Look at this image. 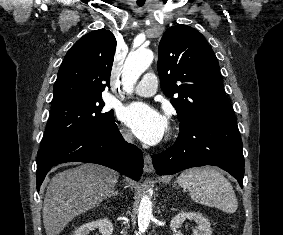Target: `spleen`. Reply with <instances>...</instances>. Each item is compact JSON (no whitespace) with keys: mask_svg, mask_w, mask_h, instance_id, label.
I'll use <instances>...</instances> for the list:
<instances>
[{"mask_svg":"<svg viewBox=\"0 0 283 235\" xmlns=\"http://www.w3.org/2000/svg\"><path fill=\"white\" fill-rule=\"evenodd\" d=\"M177 183L196 203L234 213L238 202L230 182L214 168H192L182 172Z\"/></svg>","mask_w":283,"mask_h":235,"instance_id":"1","label":"spleen"}]
</instances>
